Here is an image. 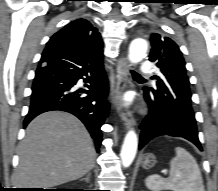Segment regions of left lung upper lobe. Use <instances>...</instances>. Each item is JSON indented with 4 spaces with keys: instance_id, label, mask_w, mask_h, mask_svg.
<instances>
[{
    "instance_id": "1",
    "label": "left lung upper lobe",
    "mask_w": 218,
    "mask_h": 191,
    "mask_svg": "<svg viewBox=\"0 0 218 191\" xmlns=\"http://www.w3.org/2000/svg\"><path fill=\"white\" fill-rule=\"evenodd\" d=\"M150 41L152 49L149 60L162 72L160 77H156L157 87L151 88V91L170 103L182 101L191 105L190 83L179 47L170 38L158 33H153ZM192 124L196 126L195 119Z\"/></svg>"
}]
</instances>
